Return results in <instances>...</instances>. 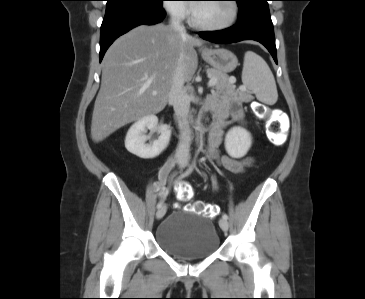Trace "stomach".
<instances>
[{
  "label": "stomach",
  "instance_id": "obj_1",
  "mask_svg": "<svg viewBox=\"0 0 365 299\" xmlns=\"http://www.w3.org/2000/svg\"><path fill=\"white\" fill-rule=\"evenodd\" d=\"M202 57L215 70L225 74L233 71L238 65L237 57L223 48L205 49L202 51Z\"/></svg>",
  "mask_w": 365,
  "mask_h": 299
}]
</instances>
